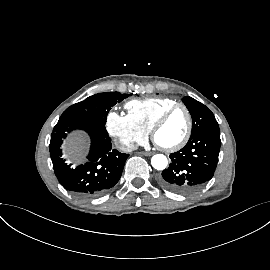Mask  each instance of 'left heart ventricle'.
Here are the masks:
<instances>
[{"instance_id":"left-heart-ventricle-1","label":"left heart ventricle","mask_w":270,"mask_h":270,"mask_svg":"<svg viewBox=\"0 0 270 270\" xmlns=\"http://www.w3.org/2000/svg\"><path fill=\"white\" fill-rule=\"evenodd\" d=\"M187 129V116L183 109L175 110L156 134L161 146H172L179 142Z\"/></svg>"}]
</instances>
